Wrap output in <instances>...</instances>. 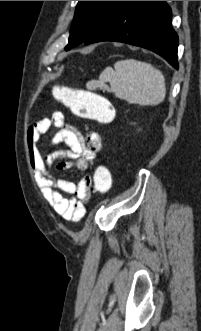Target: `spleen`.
Returning <instances> with one entry per match:
<instances>
[{
  "instance_id": "1",
  "label": "spleen",
  "mask_w": 201,
  "mask_h": 331,
  "mask_svg": "<svg viewBox=\"0 0 201 331\" xmlns=\"http://www.w3.org/2000/svg\"><path fill=\"white\" fill-rule=\"evenodd\" d=\"M98 86L119 99L142 106L158 105L166 95L162 72L151 64L134 59L120 60L114 69L107 67L99 77Z\"/></svg>"
}]
</instances>
